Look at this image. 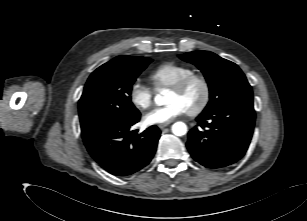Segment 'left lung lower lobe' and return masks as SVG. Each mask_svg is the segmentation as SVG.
Wrapping results in <instances>:
<instances>
[{
	"instance_id": "obj_1",
	"label": "left lung lower lobe",
	"mask_w": 307,
	"mask_h": 221,
	"mask_svg": "<svg viewBox=\"0 0 307 221\" xmlns=\"http://www.w3.org/2000/svg\"><path fill=\"white\" fill-rule=\"evenodd\" d=\"M188 133L192 158L207 168H224L246 153L253 134V103H235L212 112H202Z\"/></svg>"
}]
</instances>
